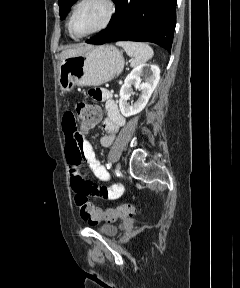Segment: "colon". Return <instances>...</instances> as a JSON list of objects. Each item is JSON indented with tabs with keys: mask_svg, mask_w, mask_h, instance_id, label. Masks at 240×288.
Masks as SVG:
<instances>
[{
	"mask_svg": "<svg viewBox=\"0 0 240 288\" xmlns=\"http://www.w3.org/2000/svg\"><path fill=\"white\" fill-rule=\"evenodd\" d=\"M101 111L96 105L79 102L75 106V121L84 129L93 128L100 120ZM75 203L81 217L88 222L108 221L112 222L118 218H127L134 215L136 207L132 204H122L117 207L102 210L95 206L86 195L76 193Z\"/></svg>",
	"mask_w": 240,
	"mask_h": 288,
	"instance_id": "colon-1",
	"label": "colon"
}]
</instances>
